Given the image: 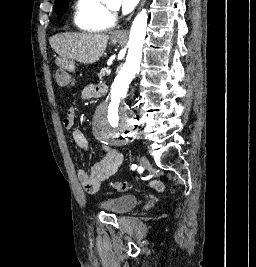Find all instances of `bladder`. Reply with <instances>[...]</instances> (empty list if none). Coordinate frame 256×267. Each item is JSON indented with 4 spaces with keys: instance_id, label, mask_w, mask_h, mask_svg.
I'll return each mask as SVG.
<instances>
[{
    "instance_id": "31cf9c89",
    "label": "bladder",
    "mask_w": 256,
    "mask_h": 267,
    "mask_svg": "<svg viewBox=\"0 0 256 267\" xmlns=\"http://www.w3.org/2000/svg\"><path fill=\"white\" fill-rule=\"evenodd\" d=\"M139 204L136 195H123L110 197L102 200L101 206L106 207L112 214L121 215L129 212L134 206Z\"/></svg>"
}]
</instances>
